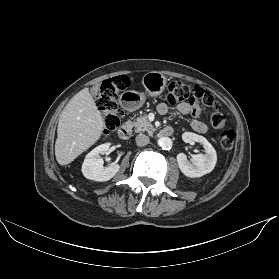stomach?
Segmentation results:
<instances>
[{
  "label": "stomach",
  "instance_id": "obj_1",
  "mask_svg": "<svg viewBox=\"0 0 279 279\" xmlns=\"http://www.w3.org/2000/svg\"><path fill=\"white\" fill-rule=\"evenodd\" d=\"M166 84L167 79L162 73L157 71L148 72L142 78V85L146 92L125 91L120 96V104L127 111H135L142 107L147 95H160L164 91Z\"/></svg>",
  "mask_w": 279,
  "mask_h": 279
}]
</instances>
